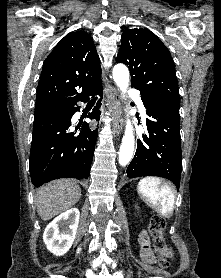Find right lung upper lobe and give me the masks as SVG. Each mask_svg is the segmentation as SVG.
Wrapping results in <instances>:
<instances>
[{
	"mask_svg": "<svg viewBox=\"0 0 221 278\" xmlns=\"http://www.w3.org/2000/svg\"><path fill=\"white\" fill-rule=\"evenodd\" d=\"M100 59L92 37L84 31L67 34L46 58L37 87L36 105L74 96L101 82Z\"/></svg>",
	"mask_w": 221,
	"mask_h": 278,
	"instance_id": "1",
	"label": "right lung upper lobe"
}]
</instances>
